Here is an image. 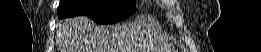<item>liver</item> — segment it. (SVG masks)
<instances>
[{
    "mask_svg": "<svg viewBox=\"0 0 261 52\" xmlns=\"http://www.w3.org/2000/svg\"><path fill=\"white\" fill-rule=\"evenodd\" d=\"M63 46L67 52H115L118 31L96 27L84 16L66 19L62 24ZM66 52V51H65Z\"/></svg>",
    "mask_w": 261,
    "mask_h": 52,
    "instance_id": "obj_1",
    "label": "liver"
}]
</instances>
